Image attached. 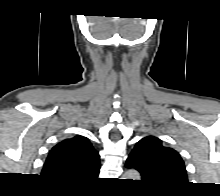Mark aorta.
<instances>
[{
  "mask_svg": "<svg viewBox=\"0 0 220 196\" xmlns=\"http://www.w3.org/2000/svg\"><path fill=\"white\" fill-rule=\"evenodd\" d=\"M123 177H124L123 179L140 180V174L134 169L127 170L124 173Z\"/></svg>",
  "mask_w": 220,
  "mask_h": 196,
  "instance_id": "aorta-1",
  "label": "aorta"
}]
</instances>
